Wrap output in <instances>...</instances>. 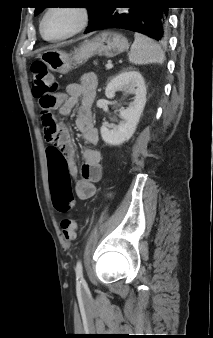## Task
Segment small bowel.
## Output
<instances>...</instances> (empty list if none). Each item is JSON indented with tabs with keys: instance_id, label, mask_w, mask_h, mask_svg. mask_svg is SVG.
<instances>
[{
	"instance_id": "1",
	"label": "small bowel",
	"mask_w": 213,
	"mask_h": 338,
	"mask_svg": "<svg viewBox=\"0 0 213 338\" xmlns=\"http://www.w3.org/2000/svg\"><path fill=\"white\" fill-rule=\"evenodd\" d=\"M97 79L95 74L85 73L78 83L69 84L64 93L56 95V105L63 115H69L72 109L81 101V113L75 123L85 143L95 145L99 134L93 125L90 105L96 95ZM57 131L48 138L51 145L46 155L51 176L54 181H61L66 175L77 176L79 168L76 163V152L71 142L70 131L63 125H56ZM81 178L76 184V194L81 200H86L96 193L95 183L102 178L101 154L97 149L86 148L83 153Z\"/></svg>"
}]
</instances>
